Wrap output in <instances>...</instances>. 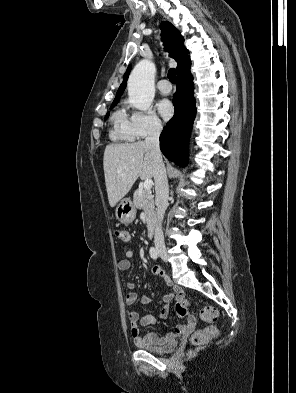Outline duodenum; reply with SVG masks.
Instances as JSON below:
<instances>
[{
  "label": "duodenum",
  "instance_id": "duodenum-1",
  "mask_svg": "<svg viewBox=\"0 0 296 393\" xmlns=\"http://www.w3.org/2000/svg\"><path fill=\"white\" fill-rule=\"evenodd\" d=\"M155 232H156L155 227H154V226H151V227H150V230H149L150 235H151V236H154V235H155Z\"/></svg>",
  "mask_w": 296,
  "mask_h": 393
}]
</instances>
